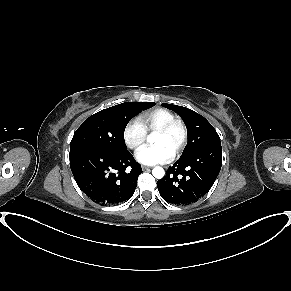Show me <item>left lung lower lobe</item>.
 <instances>
[{
    "label": "left lung lower lobe",
    "instance_id": "obj_1",
    "mask_svg": "<svg viewBox=\"0 0 291 291\" xmlns=\"http://www.w3.org/2000/svg\"><path fill=\"white\" fill-rule=\"evenodd\" d=\"M221 165V145L209 146L180 157L157 182L159 193L171 204L194 203L210 190Z\"/></svg>",
    "mask_w": 291,
    "mask_h": 291
}]
</instances>
